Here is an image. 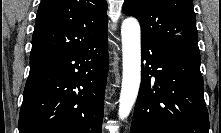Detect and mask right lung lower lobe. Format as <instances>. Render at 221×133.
<instances>
[{
	"label": "right lung lower lobe",
	"mask_w": 221,
	"mask_h": 133,
	"mask_svg": "<svg viewBox=\"0 0 221 133\" xmlns=\"http://www.w3.org/2000/svg\"><path fill=\"white\" fill-rule=\"evenodd\" d=\"M107 36L75 51L30 59L19 133H101Z\"/></svg>",
	"instance_id": "98d812e1"
}]
</instances>
